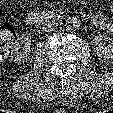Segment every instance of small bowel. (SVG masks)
<instances>
[{
  "instance_id": "small-bowel-1",
  "label": "small bowel",
  "mask_w": 113,
  "mask_h": 113,
  "mask_svg": "<svg viewBox=\"0 0 113 113\" xmlns=\"http://www.w3.org/2000/svg\"><path fill=\"white\" fill-rule=\"evenodd\" d=\"M88 19L98 28L105 30L113 35V20L102 14L88 15Z\"/></svg>"
}]
</instances>
